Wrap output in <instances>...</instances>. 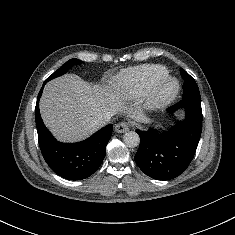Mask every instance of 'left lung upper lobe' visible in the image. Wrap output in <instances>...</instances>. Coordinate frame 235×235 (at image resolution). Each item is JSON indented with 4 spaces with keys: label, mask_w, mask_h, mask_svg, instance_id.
<instances>
[{
    "label": "left lung upper lobe",
    "mask_w": 235,
    "mask_h": 235,
    "mask_svg": "<svg viewBox=\"0 0 235 235\" xmlns=\"http://www.w3.org/2000/svg\"><path fill=\"white\" fill-rule=\"evenodd\" d=\"M180 73L183 77V79L186 81H189L191 83V86L193 87V95L195 97H200V93H199V89H198V86L195 82V80L183 69L180 70Z\"/></svg>",
    "instance_id": "1"
}]
</instances>
